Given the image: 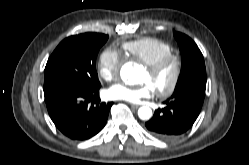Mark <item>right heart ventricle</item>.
Here are the masks:
<instances>
[{"label":"right heart ventricle","instance_id":"1","mask_svg":"<svg viewBox=\"0 0 249 165\" xmlns=\"http://www.w3.org/2000/svg\"><path fill=\"white\" fill-rule=\"evenodd\" d=\"M124 51L133 59L150 64L160 57L171 53V46L155 37H143L122 44Z\"/></svg>","mask_w":249,"mask_h":165}]
</instances>
